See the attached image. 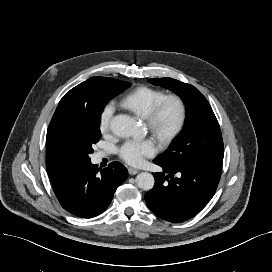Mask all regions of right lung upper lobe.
<instances>
[{
    "label": "right lung upper lobe",
    "mask_w": 272,
    "mask_h": 272,
    "mask_svg": "<svg viewBox=\"0 0 272 272\" xmlns=\"http://www.w3.org/2000/svg\"><path fill=\"white\" fill-rule=\"evenodd\" d=\"M110 79L92 77L71 89L60 100L46 136V169L50 179L68 172L75 164L61 144L62 130L91 114L96 98Z\"/></svg>",
    "instance_id": "right-lung-upper-lobe-1"
}]
</instances>
